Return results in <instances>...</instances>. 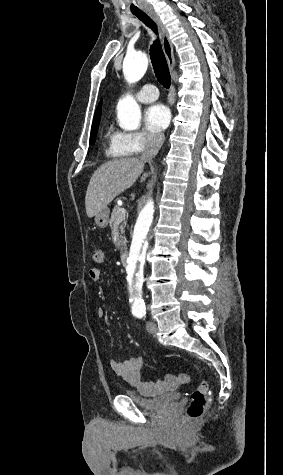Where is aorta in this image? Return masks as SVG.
I'll use <instances>...</instances> for the list:
<instances>
[{
  "label": "aorta",
  "mask_w": 283,
  "mask_h": 475,
  "mask_svg": "<svg viewBox=\"0 0 283 475\" xmlns=\"http://www.w3.org/2000/svg\"><path fill=\"white\" fill-rule=\"evenodd\" d=\"M148 67V58L144 52L136 51L126 55L123 61V73L126 81L133 84L139 81ZM117 117L125 130L138 128L141 110L135 99L127 94L117 105ZM161 217V216H160ZM158 212L152 198L141 201L132 226V242L126 264L129 303L134 309L144 308L142 297L143 272L146 252L156 230Z\"/></svg>",
  "instance_id": "aorta-1"
}]
</instances>
